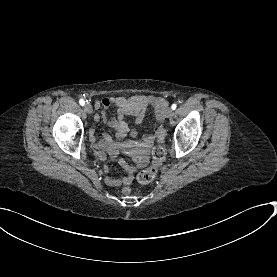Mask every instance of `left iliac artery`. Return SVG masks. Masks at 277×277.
<instances>
[{
    "mask_svg": "<svg viewBox=\"0 0 277 277\" xmlns=\"http://www.w3.org/2000/svg\"><path fill=\"white\" fill-rule=\"evenodd\" d=\"M176 107H177V105H176V104H172V106H171V108H172L173 110H175V109H176Z\"/></svg>",
    "mask_w": 277,
    "mask_h": 277,
    "instance_id": "obj_1",
    "label": "left iliac artery"
}]
</instances>
